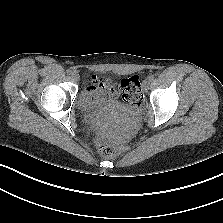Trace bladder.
<instances>
[{"label":"bladder","instance_id":"bladder-1","mask_svg":"<svg viewBox=\"0 0 223 223\" xmlns=\"http://www.w3.org/2000/svg\"><path fill=\"white\" fill-rule=\"evenodd\" d=\"M77 103L80 108L86 111L109 108H124V105L121 102L114 100V98L106 97L101 92L93 91L88 87H85L79 94Z\"/></svg>","mask_w":223,"mask_h":223}]
</instances>
